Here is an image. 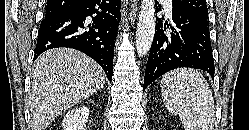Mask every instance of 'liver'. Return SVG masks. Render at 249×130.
<instances>
[{"label":"liver","instance_id":"obj_1","mask_svg":"<svg viewBox=\"0 0 249 130\" xmlns=\"http://www.w3.org/2000/svg\"><path fill=\"white\" fill-rule=\"evenodd\" d=\"M31 79L28 105L32 130H45L65 110L100 90L107 77L87 55L56 48L36 59Z\"/></svg>","mask_w":249,"mask_h":130}]
</instances>
